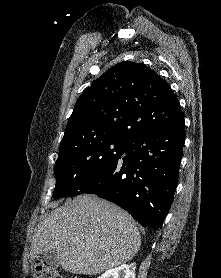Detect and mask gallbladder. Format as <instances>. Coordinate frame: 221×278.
Here are the masks:
<instances>
[{
  "label": "gallbladder",
  "mask_w": 221,
  "mask_h": 278,
  "mask_svg": "<svg viewBox=\"0 0 221 278\" xmlns=\"http://www.w3.org/2000/svg\"><path fill=\"white\" fill-rule=\"evenodd\" d=\"M42 259L50 267L57 268L60 266V260L58 258L57 252L54 250L44 253Z\"/></svg>",
  "instance_id": "gallbladder-1"
}]
</instances>
